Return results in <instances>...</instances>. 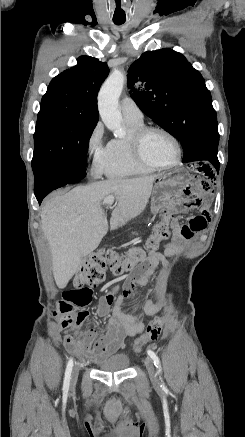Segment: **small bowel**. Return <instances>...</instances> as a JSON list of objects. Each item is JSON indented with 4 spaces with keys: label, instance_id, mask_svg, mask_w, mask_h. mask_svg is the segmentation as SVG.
I'll return each mask as SVG.
<instances>
[{
    "label": "small bowel",
    "instance_id": "small-bowel-1",
    "mask_svg": "<svg viewBox=\"0 0 245 437\" xmlns=\"http://www.w3.org/2000/svg\"><path fill=\"white\" fill-rule=\"evenodd\" d=\"M189 178L199 184V192H212V183L205 180H217L218 173L213 166H190ZM190 192L196 189L193 183L187 186ZM205 203L202 196H191L184 202L185 207L190 209H199ZM208 216L206 211L202 214L193 216L186 225H182L179 220L172 222V239L164 245L162 253L150 251L144 262L129 276L125 284L124 298L131 299L135 295L136 285L147 284L152 275L153 268L161 264L167 266V258L174 255L185 241L190 240L195 233H199L207 227ZM112 292L116 293L119 285L116 281H111ZM114 297L112 294L101 297L97 307V314L103 318H109L107 332L97 337L94 328H89L79 338L69 335L65 337L67 347H79L82 353L89 359L104 358L125 347V339L129 336L141 332L144 328L140 316L126 311L123 307H116L111 313V306ZM160 305L150 299L145 300L143 304V314L152 316L158 312ZM83 323L80 324V327Z\"/></svg>",
    "mask_w": 245,
    "mask_h": 437
}]
</instances>
